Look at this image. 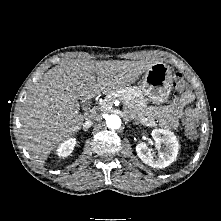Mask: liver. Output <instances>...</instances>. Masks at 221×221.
<instances>
[{
	"label": "liver",
	"mask_w": 221,
	"mask_h": 221,
	"mask_svg": "<svg viewBox=\"0 0 221 221\" xmlns=\"http://www.w3.org/2000/svg\"><path fill=\"white\" fill-rule=\"evenodd\" d=\"M154 63L148 61L69 60L45 73L26 96L20 111L21 138L33 160L48 155L81 129L78 99L89 100L131 85Z\"/></svg>",
	"instance_id": "1"
}]
</instances>
